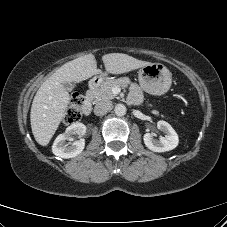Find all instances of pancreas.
<instances>
[{"instance_id":"cf45deb5","label":"pancreas","mask_w":227,"mask_h":227,"mask_svg":"<svg viewBox=\"0 0 227 227\" xmlns=\"http://www.w3.org/2000/svg\"><path fill=\"white\" fill-rule=\"evenodd\" d=\"M129 83H130V80L127 77L105 81L101 84L99 88L89 91L88 96L94 102L111 100V99L117 98V96L112 92V89L115 86L126 87ZM152 113L156 115L159 114V112L156 110H153Z\"/></svg>"}]
</instances>
